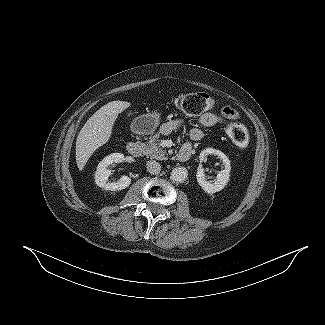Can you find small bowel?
<instances>
[{"mask_svg": "<svg viewBox=\"0 0 325 325\" xmlns=\"http://www.w3.org/2000/svg\"><path fill=\"white\" fill-rule=\"evenodd\" d=\"M238 118V113L231 107H223L220 112H207L199 118V123L204 127H215L217 125L226 124L230 120H236ZM181 121L172 120L165 122L161 127V132L168 134L178 127H180ZM190 140L192 142L200 141L204 134L203 131L199 128L191 129ZM191 145L190 143H188Z\"/></svg>", "mask_w": 325, "mask_h": 325, "instance_id": "1", "label": "small bowel"}]
</instances>
